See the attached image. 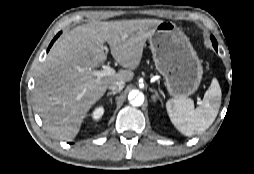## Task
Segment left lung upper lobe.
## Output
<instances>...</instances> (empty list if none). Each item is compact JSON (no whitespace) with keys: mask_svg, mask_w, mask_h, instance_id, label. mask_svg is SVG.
<instances>
[{"mask_svg":"<svg viewBox=\"0 0 254 174\" xmlns=\"http://www.w3.org/2000/svg\"><path fill=\"white\" fill-rule=\"evenodd\" d=\"M211 40H212V43H213V47H214V45L217 46V41L214 38V36H211Z\"/></svg>","mask_w":254,"mask_h":174,"instance_id":"left-lung-upper-lobe-1","label":"left lung upper lobe"}]
</instances>
